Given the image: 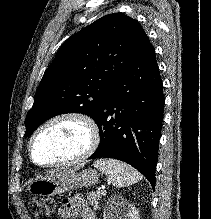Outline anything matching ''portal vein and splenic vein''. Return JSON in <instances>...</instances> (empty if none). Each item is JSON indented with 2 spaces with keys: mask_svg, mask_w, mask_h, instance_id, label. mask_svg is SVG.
<instances>
[{
  "mask_svg": "<svg viewBox=\"0 0 211 219\" xmlns=\"http://www.w3.org/2000/svg\"><path fill=\"white\" fill-rule=\"evenodd\" d=\"M105 193H106L105 190H102V189H98V190H97V194H105Z\"/></svg>",
  "mask_w": 211,
  "mask_h": 219,
  "instance_id": "18ae733b",
  "label": "portal vein and splenic vein"
}]
</instances>
